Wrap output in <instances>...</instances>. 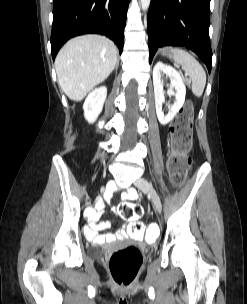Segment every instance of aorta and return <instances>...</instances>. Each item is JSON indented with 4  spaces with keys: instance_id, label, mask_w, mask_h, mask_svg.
Here are the masks:
<instances>
[{
    "instance_id": "1",
    "label": "aorta",
    "mask_w": 247,
    "mask_h": 304,
    "mask_svg": "<svg viewBox=\"0 0 247 304\" xmlns=\"http://www.w3.org/2000/svg\"><path fill=\"white\" fill-rule=\"evenodd\" d=\"M141 6L143 10H147L149 8L151 0H140Z\"/></svg>"
}]
</instances>
